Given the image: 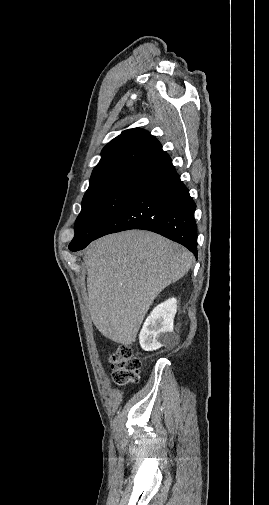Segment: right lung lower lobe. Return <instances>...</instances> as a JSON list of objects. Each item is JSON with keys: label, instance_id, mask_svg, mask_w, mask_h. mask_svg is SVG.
Returning <instances> with one entry per match:
<instances>
[{"label": "right lung lower lobe", "instance_id": "right-lung-lower-lobe-1", "mask_svg": "<svg viewBox=\"0 0 269 505\" xmlns=\"http://www.w3.org/2000/svg\"><path fill=\"white\" fill-rule=\"evenodd\" d=\"M195 209L172 165L138 188L95 239L129 229L149 230L184 245L196 256Z\"/></svg>", "mask_w": 269, "mask_h": 505}]
</instances>
